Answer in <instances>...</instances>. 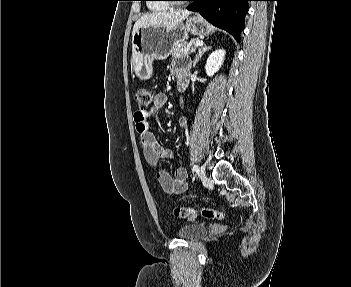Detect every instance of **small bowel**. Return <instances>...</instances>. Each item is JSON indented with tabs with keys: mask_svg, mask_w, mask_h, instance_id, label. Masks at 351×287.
Masks as SVG:
<instances>
[{
	"mask_svg": "<svg viewBox=\"0 0 351 287\" xmlns=\"http://www.w3.org/2000/svg\"><path fill=\"white\" fill-rule=\"evenodd\" d=\"M171 72L176 75L182 83L188 71V63L183 59H176L171 63ZM167 103L165 93H157L150 110H137L134 114L136 131L139 135L140 146L147 164L156 169L161 158L170 159L173 157V151L163 147L153 133L150 131L148 119L156 112L160 111ZM182 126L186 125V119L180 120ZM156 178L163 188L169 194H181L187 187V170L179 167L172 176L165 170H158Z\"/></svg>",
	"mask_w": 351,
	"mask_h": 287,
	"instance_id": "obj_1",
	"label": "small bowel"
}]
</instances>
